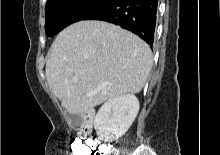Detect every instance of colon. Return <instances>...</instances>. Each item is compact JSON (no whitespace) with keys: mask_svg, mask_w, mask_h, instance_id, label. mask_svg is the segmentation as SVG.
I'll use <instances>...</instances> for the list:
<instances>
[{"mask_svg":"<svg viewBox=\"0 0 220 155\" xmlns=\"http://www.w3.org/2000/svg\"><path fill=\"white\" fill-rule=\"evenodd\" d=\"M99 143H89L82 138H76L71 142L73 152L71 155H104L103 150H99Z\"/></svg>","mask_w":220,"mask_h":155,"instance_id":"colon-1","label":"colon"}]
</instances>
